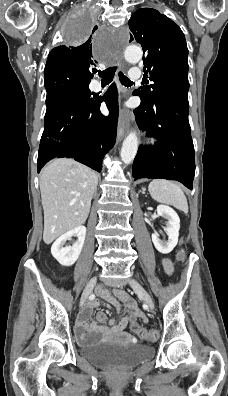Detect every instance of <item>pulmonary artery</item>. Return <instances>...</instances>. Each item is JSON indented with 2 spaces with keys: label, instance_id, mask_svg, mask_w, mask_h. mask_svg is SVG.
<instances>
[{
  "label": "pulmonary artery",
  "instance_id": "pulmonary-artery-1",
  "mask_svg": "<svg viewBox=\"0 0 228 396\" xmlns=\"http://www.w3.org/2000/svg\"><path fill=\"white\" fill-rule=\"evenodd\" d=\"M130 78L132 79V80H139L140 78H141V76H142V72H141V69L140 68H138V67H134V68H132L131 70H130Z\"/></svg>",
  "mask_w": 228,
  "mask_h": 396
}]
</instances>
